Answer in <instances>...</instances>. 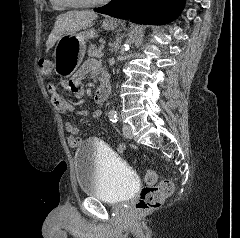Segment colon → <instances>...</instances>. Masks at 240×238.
I'll return each mask as SVG.
<instances>
[{"mask_svg":"<svg viewBox=\"0 0 240 238\" xmlns=\"http://www.w3.org/2000/svg\"><path fill=\"white\" fill-rule=\"evenodd\" d=\"M52 62L48 59H41L38 63V70L42 76H49L52 73ZM145 180L150 185L141 190L140 197L136 203L138 212H147L158 208L164 199L173 193L174 185L171 180H163L155 183L157 174L154 170H148Z\"/></svg>","mask_w":240,"mask_h":238,"instance_id":"1","label":"colon"}]
</instances>
